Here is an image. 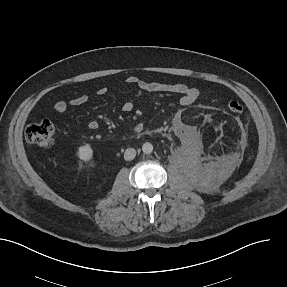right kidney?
<instances>
[{
  "label": "right kidney",
  "instance_id": "right-kidney-1",
  "mask_svg": "<svg viewBox=\"0 0 287 287\" xmlns=\"http://www.w3.org/2000/svg\"><path fill=\"white\" fill-rule=\"evenodd\" d=\"M77 156L83 162H87L93 157V150L89 144H84L78 147Z\"/></svg>",
  "mask_w": 287,
  "mask_h": 287
}]
</instances>
